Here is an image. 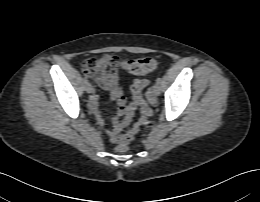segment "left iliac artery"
Wrapping results in <instances>:
<instances>
[{"mask_svg":"<svg viewBox=\"0 0 260 202\" xmlns=\"http://www.w3.org/2000/svg\"><path fill=\"white\" fill-rule=\"evenodd\" d=\"M161 81H162V80H161V78H160V77H158V78L156 79V83H157V84H160V83H161Z\"/></svg>","mask_w":260,"mask_h":202,"instance_id":"left-iliac-artery-1","label":"left iliac artery"}]
</instances>
